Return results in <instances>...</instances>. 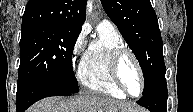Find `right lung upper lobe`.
I'll list each match as a JSON object with an SVG mask.
<instances>
[{"mask_svg": "<svg viewBox=\"0 0 193 112\" xmlns=\"http://www.w3.org/2000/svg\"><path fill=\"white\" fill-rule=\"evenodd\" d=\"M86 0H29L22 17V30L36 26L81 28Z\"/></svg>", "mask_w": 193, "mask_h": 112, "instance_id": "1", "label": "right lung upper lobe"}]
</instances>
